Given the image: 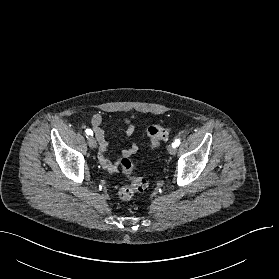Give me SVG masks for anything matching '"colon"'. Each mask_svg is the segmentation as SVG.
<instances>
[{
  "instance_id": "obj_1",
  "label": "colon",
  "mask_w": 279,
  "mask_h": 279,
  "mask_svg": "<svg viewBox=\"0 0 279 279\" xmlns=\"http://www.w3.org/2000/svg\"><path fill=\"white\" fill-rule=\"evenodd\" d=\"M147 134L150 148L156 149L163 141L167 140L169 129L162 125L152 124L148 127ZM120 164L123 174L130 180L129 185L118 188L116 195L120 200H129L135 193L144 192L148 189V182L144 178L133 176L135 166L129 158H123Z\"/></svg>"
}]
</instances>
